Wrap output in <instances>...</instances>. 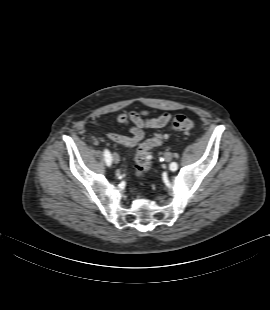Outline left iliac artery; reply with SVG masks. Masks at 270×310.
<instances>
[{
	"label": "left iliac artery",
	"instance_id": "left-iliac-artery-1",
	"mask_svg": "<svg viewBox=\"0 0 270 310\" xmlns=\"http://www.w3.org/2000/svg\"><path fill=\"white\" fill-rule=\"evenodd\" d=\"M170 169H171L172 171L177 170V163H175V162L171 163V164H170Z\"/></svg>",
	"mask_w": 270,
	"mask_h": 310
}]
</instances>
